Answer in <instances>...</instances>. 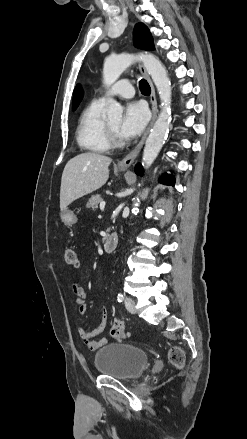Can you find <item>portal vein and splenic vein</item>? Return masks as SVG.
<instances>
[{
	"mask_svg": "<svg viewBox=\"0 0 247 439\" xmlns=\"http://www.w3.org/2000/svg\"><path fill=\"white\" fill-rule=\"evenodd\" d=\"M104 207H105V202H101V203H100V209H101V210H104Z\"/></svg>",
	"mask_w": 247,
	"mask_h": 439,
	"instance_id": "portal-vein-and-splenic-vein-1",
	"label": "portal vein and splenic vein"
}]
</instances>
